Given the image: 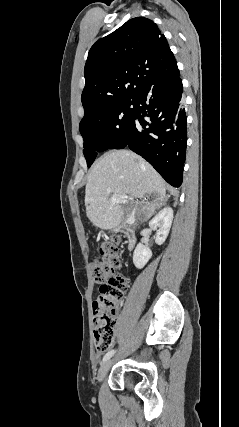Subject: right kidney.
<instances>
[{
	"label": "right kidney",
	"mask_w": 239,
	"mask_h": 427,
	"mask_svg": "<svg viewBox=\"0 0 239 427\" xmlns=\"http://www.w3.org/2000/svg\"><path fill=\"white\" fill-rule=\"evenodd\" d=\"M173 220V210L170 207L162 209L150 222L149 227L157 231L155 242L161 245L165 242ZM152 252L143 244L139 243L133 254V263L137 269H142L151 259Z\"/></svg>",
	"instance_id": "obj_1"
}]
</instances>
